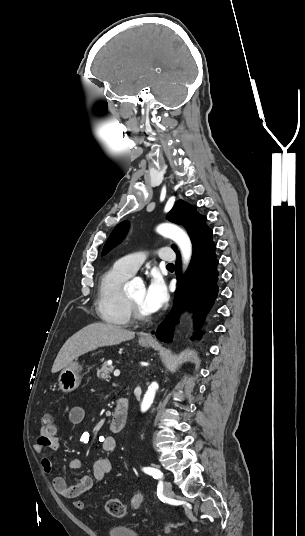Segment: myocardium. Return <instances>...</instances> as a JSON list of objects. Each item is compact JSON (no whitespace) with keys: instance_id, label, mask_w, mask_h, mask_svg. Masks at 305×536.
<instances>
[{"instance_id":"f54148a6","label":"myocardium","mask_w":305,"mask_h":536,"mask_svg":"<svg viewBox=\"0 0 305 536\" xmlns=\"http://www.w3.org/2000/svg\"><path fill=\"white\" fill-rule=\"evenodd\" d=\"M124 298L126 305L134 318L138 320H146L150 318V314L143 312L139 307H137L127 293L124 294Z\"/></svg>"}]
</instances>
